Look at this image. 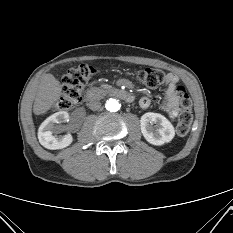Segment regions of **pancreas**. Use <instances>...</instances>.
<instances>
[{
	"mask_svg": "<svg viewBox=\"0 0 233 233\" xmlns=\"http://www.w3.org/2000/svg\"><path fill=\"white\" fill-rule=\"evenodd\" d=\"M101 88L108 90V89H111V86L108 84H103V85H101Z\"/></svg>",
	"mask_w": 233,
	"mask_h": 233,
	"instance_id": "cf45deb5",
	"label": "pancreas"
}]
</instances>
